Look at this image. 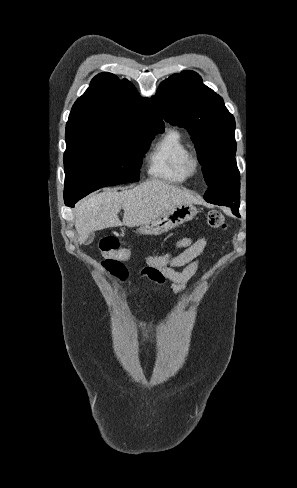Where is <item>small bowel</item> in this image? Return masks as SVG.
Masks as SVG:
<instances>
[{
	"label": "small bowel",
	"instance_id": "small-bowel-1",
	"mask_svg": "<svg viewBox=\"0 0 297 488\" xmlns=\"http://www.w3.org/2000/svg\"><path fill=\"white\" fill-rule=\"evenodd\" d=\"M207 243L204 237L181 238L174 244V250L180 251L176 258L167 268L149 271L148 278L157 285H167L175 294L181 293L189 286L192 277L200 269V256L205 251ZM178 268L182 270H177Z\"/></svg>",
	"mask_w": 297,
	"mask_h": 488
}]
</instances>
